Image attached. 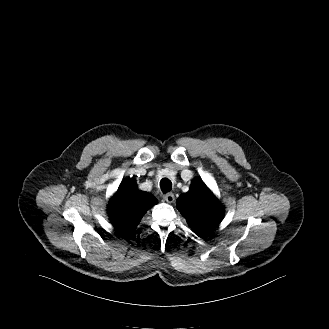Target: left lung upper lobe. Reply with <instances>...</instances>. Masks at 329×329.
Wrapping results in <instances>:
<instances>
[{
	"mask_svg": "<svg viewBox=\"0 0 329 329\" xmlns=\"http://www.w3.org/2000/svg\"><path fill=\"white\" fill-rule=\"evenodd\" d=\"M176 206L199 237L212 231L224 215V208L201 179L192 182L190 190L177 199Z\"/></svg>",
	"mask_w": 329,
	"mask_h": 329,
	"instance_id": "1",
	"label": "left lung upper lobe"
}]
</instances>
